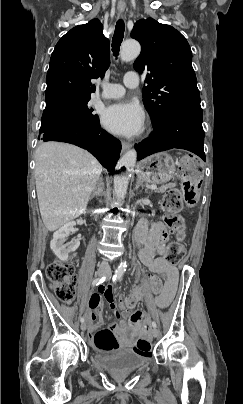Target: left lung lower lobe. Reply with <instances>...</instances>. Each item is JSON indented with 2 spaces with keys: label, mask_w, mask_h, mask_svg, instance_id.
Wrapping results in <instances>:
<instances>
[{
  "label": "left lung lower lobe",
  "mask_w": 243,
  "mask_h": 404,
  "mask_svg": "<svg viewBox=\"0 0 243 404\" xmlns=\"http://www.w3.org/2000/svg\"><path fill=\"white\" fill-rule=\"evenodd\" d=\"M202 121L201 108L180 107L171 110L159 123L153 125L154 132L150 138L135 145L137 159L179 148L191 151L205 161Z\"/></svg>",
  "instance_id": "obj_1"
}]
</instances>
